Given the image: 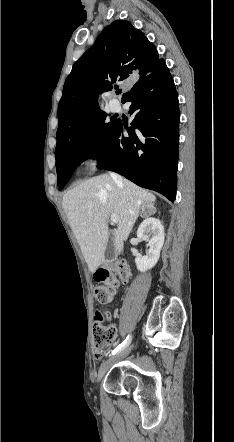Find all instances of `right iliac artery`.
Instances as JSON below:
<instances>
[{
	"label": "right iliac artery",
	"instance_id": "obj_1",
	"mask_svg": "<svg viewBox=\"0 0 234 442\" xmlns=\"http://www.w3.org/2000/svg\"><path fill=\"white\" fill-rule=\"evenodd\" d=\"M131 339H132V337L130 335H128L126 337V339L118 347H116L112 351V355H115V354L119 353L120 351H122L123 349H125L131 343Z\"/></svg>",
	"mask_w": 234,
	"mask_h": 442
}]
</instances>
